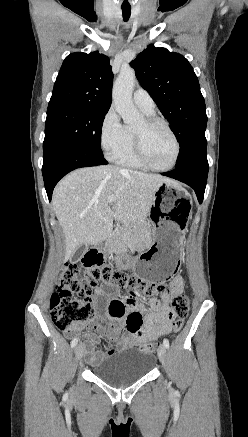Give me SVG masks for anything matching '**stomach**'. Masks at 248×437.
I'll return each mask as SVG.
<instances>
[{"mask_svg":"<svg viewBox=\"0 0 248 437\" xmlns=\"http://www.w3.org/2000/svg\"><path fill=\"white\" fill-rule=\"evenodd\" d=\"M191 214L189 194L178 184L161 183L149 208L152 224L151 243L140 252L135 264L127 255L118 259L119 272H128L132 266L137 279L145 286H167L168 280L178 271L182 248Z\"/></svg>","mask_w":248,"mask_h":437,"instance_id":"0dacf381","label":"stomach"}]
</instances>
